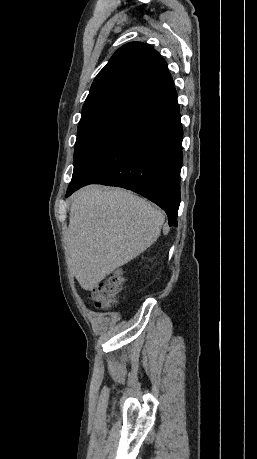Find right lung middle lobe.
<instances>
[{"mask_svg":"<svg viewBox=\"0 0 257 459\" xmlns=\"http://www.w3.org/2000/svg\"><path fill=\"white\" fill-rule=\"evenodd\" d=\"M136 111L123 107H110L81 116L74 152L73 175L100 153L117 130Z\"/></svg>","mask_w":257,"mask_h":459,"instance_id":"dd1d6c3e","label":"right lung middle lobe"}]
</instances>
